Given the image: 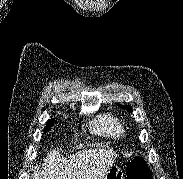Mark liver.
Segmentation results:
<instances>
[{
	"label": "liver",
	"mask_w": 183,
	"mask_h": 179,
	"mask_svg": "<svg viewBox=\"0 0 183 179\" xmlns=\"http://www.w3.org/2000/svg\"><path fill=\"white\" fill-rule=\"evenodd\" d=\"M116 158L111 149H85L68 158L54 150L42 170H34L33 179H103Z\"/></svg>",
	"instance_id": "liver-1"
}]
</instances>
